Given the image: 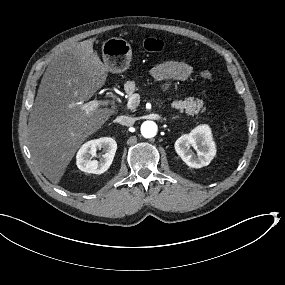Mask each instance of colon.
Listing matches in <instances>:
<instances>
[{"label": "colon", "mask_w": 285, "mask_h": 285, "mask_svg": "<svg viewBox=\"0 0 285 285\" xmlns=\"http://www.w3.org/2000/svg\"><path fill=\"white\" fill-rule=\"evenodd\" d=\"M143 47L148 52L157 53V52H161L164 49L165 44L160 39L147 38L143 43ZM200 76L203 79L209 80L212 78V73L209 70H202L200 72Z\"/></svg>", "instance_id": "1"}]
</instances>
